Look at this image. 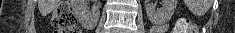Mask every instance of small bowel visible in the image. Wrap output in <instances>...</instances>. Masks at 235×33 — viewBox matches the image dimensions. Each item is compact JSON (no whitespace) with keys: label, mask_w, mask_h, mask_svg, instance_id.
Listing matches in <instances>:
<instances>
[{"label":"small bowel","mask_w":235,"mask_h":33,"mask_svg":"<svg viewBox=\"0 0 235 33\" xmlns=\"http://www.w3.org/2000/svg\"><path fill=\"white\" fill-rule=\"evenodd\" d=\"M168 28L167 24L155 25L151 28L150 33H165Z\"/></svg>","instance_id":"obj_1"}]
</instances>
